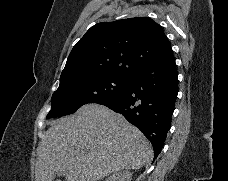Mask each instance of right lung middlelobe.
<instances>
[{
	"instance_id": "obj_1",
	"label": "right lung middle lobe",
	"mask_w": 228,
	"mask_h": 181,
	"mask_svg": "<svg viewBox=\"0 0 228 181\" xmlns=\"http://www.w3.org/2000/svg\"><path fill=\"white\" fill-rule=\"evenodd\" d=\"M129 79L130 77L109 74L61 85L52 95V109L46 118L73 114L87 103L113 101L124 92Z\"/></svg>"
}]
</instances>
